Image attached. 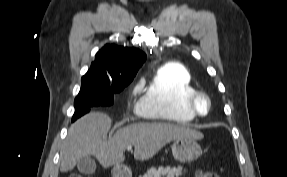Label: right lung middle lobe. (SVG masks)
<instances>
[{"mask_svg": "<svg viewBox=\"0 0 287 177\" xmlns=\"http://www.w3.org/2000/svg\"><path fill=\"white\" fill-rule=\"evenodd\" d=\"M131 81L132 80L111 86H104L84 75L81 80L80 92L74 101L75 110L81 107L112 105L114 102L113 94L122 91ZM77 118H79V114L75 112L72 121Z\"/></svg>", "mask_w": 287, "mask_h": 177, "instance_id": "1", "label": "right lung middle lobe"}]
</instances>
